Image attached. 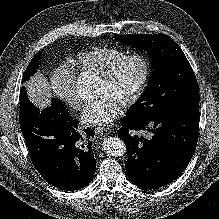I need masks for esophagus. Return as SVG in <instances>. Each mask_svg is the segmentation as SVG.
Wrapping results in <instances>:
<instances>
[{
    "label": "esophagus",
    "mask_w": 219,
    "mask_h": 219,
    "mask_svg": "<svg viewBox=\"0 0 219 219\" xmlns=\"http://www.w3.org/2000/svg\"><path fill=\"white\" fill-rule=\"evenodd\" d=\"M95 133H96L99 137H105V136H108V135H109L110 130H109V128H107V127H98V128L95 130Z\"/></svg>",
    "instance_id": "34e87169"
}]
</instances>
